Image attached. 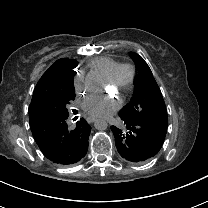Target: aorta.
Returning a JSON list of instances; mask_svg holds the SVG:
<instances>
[{
	"instance_id": "1",
	"label": "aorta",
	"mask_w": 208,
	"mask_h": 208,
	"mask_svg": "<svg viewBox=\"0 0 208 208\" xmlns=\"http://www.w3.org/2000/svg\"><path fill=\"white\" fill-rule=\"evenodd\" d=\"M94 127L97 130H105L107 128V122L104 119H97L94 122Z\"/></svg>"
}]
</instances>
